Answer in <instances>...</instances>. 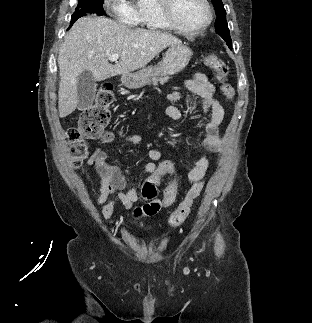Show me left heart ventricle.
<instances>
[{
  "instance_id": "left-heart-ventricle-1",
  "label": "left heart ventricle",
  "mask_w": 312,
  "mask_h": 323,
  "mask_svg": "<svg viewBox=\"0 0 312 323\" xmlns=\"http://www.w3.org/2000/svg\"><path fill=\"white\" fill-rule=\"evenodd\" d=\"M169 13L183 22H194L195 18H205L209 7H203L201 0H171Z\"/></svg>"
}]
</instances>
